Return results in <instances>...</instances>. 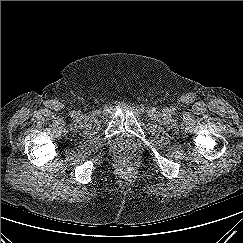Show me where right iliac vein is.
Segmentation results:
<instances>
[{
    "instance_id": "63e3f726",
    "label": "right iliac vein",
    "mask_w": 243,
    "mask_h": 243,
    "mask_svg": "<svg viewBox=\"0 0 243 243\" xmlns=\"http://www.w3.org/2000/svg\"><path fill=\"white\" fill-rule=\"evenodd\" d=\"M82 113L80 111L76 112V117H81Z\"/></svg>"
}]
</instances>
